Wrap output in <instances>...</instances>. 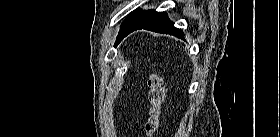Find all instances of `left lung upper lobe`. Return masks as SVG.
<instances>
[{"label": "left lung upper lobe", "mask_w": 280, "mask_h": 137, "mask_svg": "<svg viewBox=\"0 0 280 137\" xmlns=\"http://www.w3.org/2000/svg\"><path fill=\"white\" fill-rule=\"evenodd\" d=\"M152 10H148V11H139L135 10L130 16H128L125 21L123 22L121 29L119 31V34L117 36L116 42H115V46L122 40L124 34L126 33V31L135 23H137L138 21H140L142 18H144L148 13H150Z\"/></svg>", "instance_id": "5c2ea615"}]
</instances>
